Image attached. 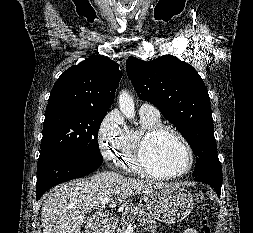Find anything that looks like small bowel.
<instances>
[{"label": "small bowel", "instance_id": "obj_1", "mask_svg": "<svg viewBox=\"0 0 253 233\" xmlns=\"http://www.w3.org/2000/svg\"><path fill=\"white\" fill-rule=\"evenodd\" d=\"M185 233H197V231L194 228H188Z\"/></svg>", "mask_w": 253, "mask_h": 233}]
</instances>
